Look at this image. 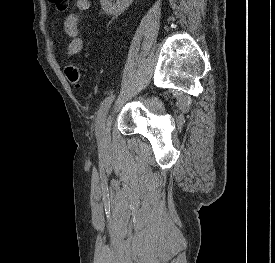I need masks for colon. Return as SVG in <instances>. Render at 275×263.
Returning a JSON list of instances; mask_svg holds the SVG:
<instances>
[{
  "label": "colon",
  "mask_w": 275,
  "mask_h": 263,
  "mask_svg": "<svg viewBox=\"0 0 275 263\" xmlns=\"http://www.w3.org/2000/svg\"><path fill=\"white\" fill-rule=\"evenodd\" d=\"M55 11L63 13L68 9L69 0H49ZM64 74L67 80L75 87H81L83 77L78 66L74 63H67L64 68Z\"/></svg>",
  "instance_id": "1"
}]
</instances>
